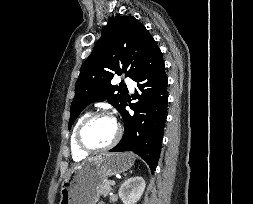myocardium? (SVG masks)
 I'll list each match as a JSON object with an SVG mask.
<instances>
[{
    "mask_svg": "<svg viewBox=\"0 0 253 204\" xmlns=\"http://www.w3.org/2000/svg\"><path fill=\"white\" fill-rule=\"evenodd\" d=\"M99 117H110L113 118L109 113L103 112V111H98V112H92L90 114H88L83 121L80 123L78 129H77V133H76V142L78 147L86 152V153H98V152H103V151H107L111 148H113L121 139L122 136V127L121 125L115 120L116 126H117V131H116V135L113 138V140L103 146V147H98V148H94V147H90L88 146L84 140H83V131L85 129V127L88 125V123H90L92 120L99 118Z\"/></svg>",
    "mask_w": 253,
    "mask_h": 204,
    "instance_id": "myocardium-1",
    "label": "myocardium"
}]
</instances>
